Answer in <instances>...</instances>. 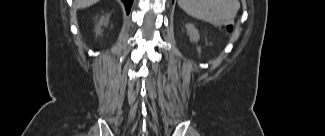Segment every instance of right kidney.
I'll return each instance as SVG.
<instances>
[{
    "label": "right kidney",
    "mask_w": 325,
    "mask_h": 136,
    "mask_svg": "<svg viewBox=\"0 0 325 136\" xmlns=\"http://www.w3.org/2000/svg\"><path fill=\"white\" fill-rule=\"evenodd\" d=\"M108 20H109V16H107L106 18H105V17H102V18L100 19V21H99V23H98V25H97V27H96V29H95L96 34H98V35L101 34L100 26H101V25H107Z\"/></svg>",
    "instance_id": "obj_1"
}]
</instances>
